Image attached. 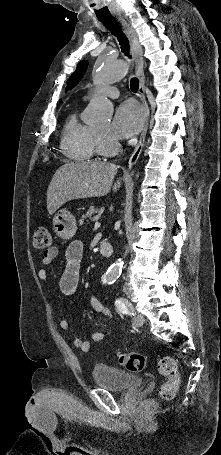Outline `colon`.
I'll return each mask as SVG.
<instances>
[{
    "mask_svg": "<svg viewBox=\"0 0 221 455\" xmlns=\"http://www.w3.org/2000/svg\"><path fill=\"white\" fill-rule=\"evenodd\" d=\"M33 244L38 250H49L51 248L49 230L43 227L37 228L34 233ZM119 363L129 371L139 372L144 370L146 358L139 353H126L119 356ZM158 367L160 373L167 378L160 387V396L164 399H170L180 385L177 363L174 358L165 356L159 360Z\"/></svg>",
    "mask_w": 221,
    "mask_h": 455,
    "instance_id": "colon-1",
    "label": "colon"
}]
</instances>
